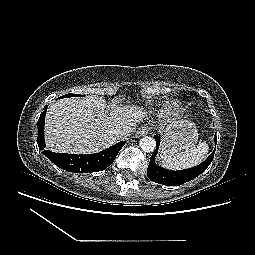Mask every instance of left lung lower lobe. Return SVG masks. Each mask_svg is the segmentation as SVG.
<instances>
[{"instance_id":"0a47b994","label":"left lung lower lobe","mask_w":255,"mask_h":255,"mask_svg":"<svg viewBox=\"0 0 255 255\" xmlns=\"http://www.w3.org/2000/svg\"><path fill=\"white\" fill-rule=\"evenodd\" d=\"M155 141H156L157 147L151 156L148 169H147V176L151 181L159 183V184H163L167 186H178L183 183H186L196 178L197 176H199L202 172H204L207 169V167L210 165L214 157L215 150L204 162H202L198 166H195L190 169H185L182 171H168L158 167L155 163V157L157 155L158 148L160 145L159 135H155ZM214 141L215 142L217 141L216 136L214 137Z\"/></svg>"}]
</instances>
